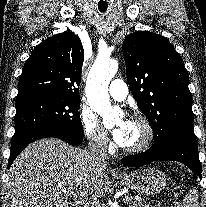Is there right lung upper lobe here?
I'll use <instances>...</instances> for the list:
<instances>
[{
	"label": "right lung upper lobe",
	"mask_w": 206,
	"mask_h": 207,
	"mask_svg": "<svg viewBox=\"0 0 206 207\" xmlns=\"http://www.w3.org/2000/svg\"><path fill=\"white\" fill-rule=\"evenodd\" d=\"M83 56L81 40L72 32L46 39L24 64L16 100L34 95L79 98Z\"/></svg>",
	"instance_id": "right-lung-upper-lobe-1"
}]
</instances>
